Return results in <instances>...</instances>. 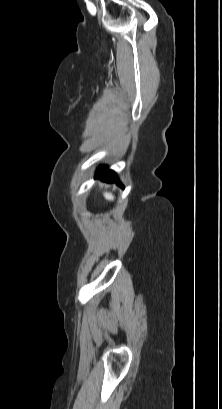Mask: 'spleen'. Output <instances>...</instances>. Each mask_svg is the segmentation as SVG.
I'll return each mask as SVG.
<instances>
[{
  "instance_id": "3e777b00",
  "label": "spleen",
  "mask_w": 222,
  "mask_h": 409,
  "mask_svg": "<svg viewBox=\"0 0 222 409\" xmlns=\"http://www.w3.org/2000/svg\"><path fill=\"white\" fill-rule=\"evenodd\" d=\"M103 196H104V198H105L106 200H109V201H113V200H114V196H113L110 192H105V193L103 194Z\"/></svg>"
}]
</instances>
